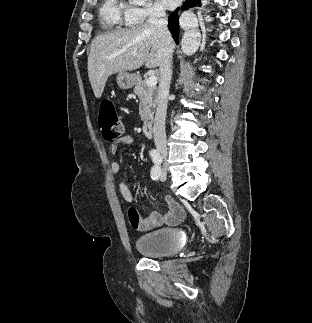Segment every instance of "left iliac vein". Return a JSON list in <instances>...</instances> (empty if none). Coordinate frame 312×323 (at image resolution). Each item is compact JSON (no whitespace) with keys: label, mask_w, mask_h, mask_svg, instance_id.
<instances>
[{"label":"left iliac vein","mask_w":312,"mask_h":323,"mask_svg":"<svg viewBox=\"0 0 312 323\" xmlns=\"http://www.w3.org/2000/svg\"><path fill=\"white\" fill-rule=\"evenodd\" d=\"M166 173H167L166 166H163L162 172L160 173V176H159V179L161 181H164L166 179Z\"/></svg>","instance_id":"left-iliac-vein-1"}]
</instances>
